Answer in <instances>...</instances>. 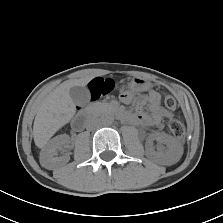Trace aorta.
<instances>
[{
	"instance_id": "762f6f07",
	"label": "aorta",
	"mask_w": 223,
	"mask_h": 223,
	"mask_svg": "<svg viewBox=\"0 0 223 223\" xmlns=\"http://www.w3.org/2000/svg\"><path fill=\"white\" fill-rule=\"evenodd\" d=\"M101 121L104 125H111L114 122V115L111 113H105L101 116Z\"/></svg>"
}]
</instances>
